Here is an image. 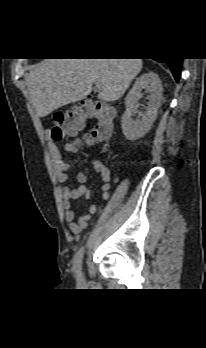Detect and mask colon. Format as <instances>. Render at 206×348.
<instances>
[{
    "instance_id": "5ec220e1",
    "label": "colon",
    "mask_w": 206,
    "mask_h": 348,
    "mask_svg": "<svg viewBox=\"0 0 206 348\" xmlns=\"http://www.w3.org/2000/svg\"><path fill=\"white\" fill-rule=\"evenodd\" d=\"M115 111L107 104L84 102L66 110L54 113L51 127V138L61 141L79 131L88 121H93L94 126L85 142L105 140L110 137L114 126ZM75 149L80 148V142L72 144Z\"/></svg>"
}]
</instances>
